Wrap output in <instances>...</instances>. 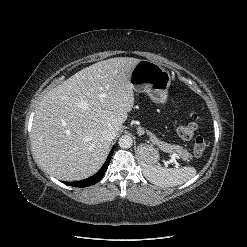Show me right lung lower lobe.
<instances>
[{
  "instance_id": "right-lung-lower-lobe-1",
  "label": "right lung lower lobe",
  "mask_w": 247,
  "mask_h": 247,
  "mask_svg": "<svg viewBox=\"0 0 247 247\" xmlns=\"http://www.w3.org/2000/svg\"><path fill=\"white\" fill-rule=\"evenodd\" d=\"M113 151H114V147L110 151V153H109L104 165L102 166V168L95 175H93L87 179L81 180V181L65 182V184L70 185V186H74V187H87V186L93 185V184L97 183L98 181H100V179L103 177V175L105 174V172L108 168V165L110 163Z\"/></svg>"
}]
</instances>
